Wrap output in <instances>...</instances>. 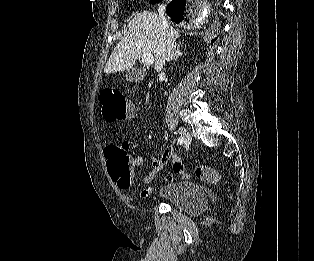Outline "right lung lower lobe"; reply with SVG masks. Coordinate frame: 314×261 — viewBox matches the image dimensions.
Masks as SVG:
<instances>
[{
  "mask_svg": "<svg viewBox=\"0 0 314 261\" xmlns=\"http://www.w3.org/2000/svg\"><path fill=\"white\" fill-rule=\"evenodd\" d=\"M188 10L189 8L187 6L186 0H172L167 6L166 13L171 17L172 21L178 24L182 20L187 19L186 15Z\"/></svg>",
  "mask_w": 314,
  "mask_h": 261,
  "instance_id": "98d812e1",
  "label": "right lung lower lobe"
}]
</instances>
